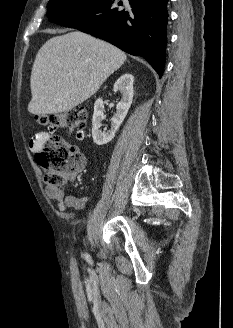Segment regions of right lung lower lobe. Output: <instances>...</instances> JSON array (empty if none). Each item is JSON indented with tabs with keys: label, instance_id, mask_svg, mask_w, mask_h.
<instances>
[{
	"label": "right lung lower lobe",
	"instance_id": "right-lung-lower-lobe-1",
	"mask_svg": "<svg viewBox=\"0 0 233 328\" xmlns=\"http://www.w3.org/2000/svg\"><path fill=\"white\" fill-rule=\"evenodd\" d=\"M168 0H99L56 21L146 59L163 75Z\"/></svg>",
	"mask_w": 233,
	"mask_h": 328
}]
</instances>
